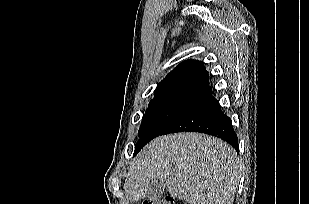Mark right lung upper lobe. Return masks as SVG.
Listing matches in <instances>:
<instances>
[{
    "mask_svg": "<svg viewBox=\"0 0 309 204\" xmlns=\"http://www.w3.org/2000/svg\"><path fill=\"white\" fill-rule=\"evenodd\" d=\"M150 103L185 102L199 105L212 97L208 72L196 60H187L174 68L157 86Z\"/></svg>",
    "mask_w": 309,
    "mask_h": 204,
    "instance_id": "1",
    "label": "right lung upper lobe"
}]
</instances>
